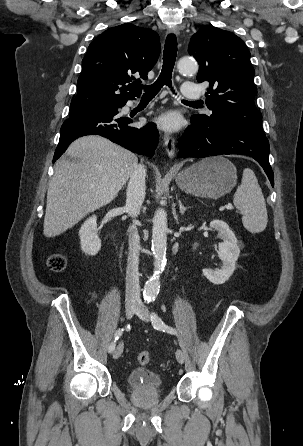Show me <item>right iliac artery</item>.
<instances>
[{"instance_id": "obj_1", "label": "right iliac artery", "mask_w": 303, "mask_h": 446, "mask_svg": "<svg viewBox=\"0 0 303 446\" xmlns=\"http://www.w3.org/2000/svg\"><path fill=\"white\" fill-rule=\"evenodd\" d=\"M124 329L123 328H119L115 334H114V341L109 345L108 347V351L109 353L113 352L115 349V344L116 341L121 337V335L123 334Z\"/></svg>"}]
</instances>
